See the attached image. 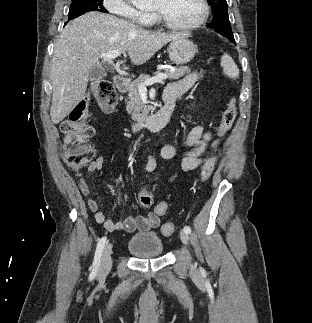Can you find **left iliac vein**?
Returning a JSON list of instances; mask_svg holds the SVG:
<instances>
[{
  "instance_id": "4c4485c4",
  "label": "left iliac vein",
  "mask_w": 312,
  "mask_h": 323,
  "mask_svg": "<svg viewBox=\"0 0 312 323\" xmlns=\"http://www.w3.org/2000/svg\"><path fill=\"white\" fill-rule=\"evenodd\" d=\"M180 238H181V241L183 242V244L187 246L188 242H189L188 233H186L185 231H181L180 232Z\"/></svg>"
}]
</instances>
